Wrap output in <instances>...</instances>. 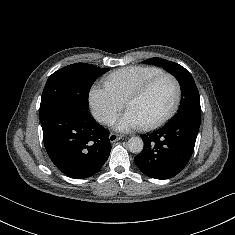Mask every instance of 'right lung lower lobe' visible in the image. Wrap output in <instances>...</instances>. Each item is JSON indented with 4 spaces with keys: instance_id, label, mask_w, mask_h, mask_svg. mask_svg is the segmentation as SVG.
Masks as SVG:
<instances>
[{
    "instance_id": "obj_1",
    "label": "right lung lower lobe",
    "mask_w": 235,
    "mask_h": 235,
    "mask_svg": "<svg viewBox=\"0 0 235 235\" xmlns=\"http://www.w3.org/2000/svg\"><path fill=\"white\" fill-rule=\"evenodd\" d=\"M46 151L65 175L84 179L106 162L109 131L91 115L71 105H60L40 117Z\"/></svg>"
}]
</instances>
